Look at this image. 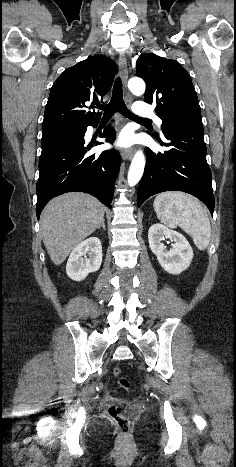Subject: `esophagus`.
Wrapping results in <instances>:
<instances>
[{
    "label": "esophagus",
    "mask_w": 236,
    "mask_h": 467,
    "mask_svg": "<svg viewBox=\"0 0 236 467\" xmlns=\"http://www.w3.org/2000/svg\"><path fill=\"white\" fill-rule=\"evenodd\" d=\"M118 66H119L120 76L122 78V81H123V84H124V87H125V95L127 97L128 93H127V90H126V83H127V79H128V68H127L126 59H125V57L123 55L119 56ZM133 154H134L133 148L126 149V150H123L121 152V156H122V158L124 160L132 159Z\"/></svg>",
    "instance_id": "esophagus-1"
}]
</instances>
